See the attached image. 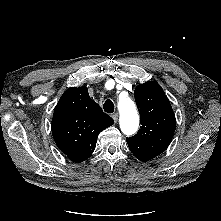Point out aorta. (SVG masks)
Here are the masks:
<instances>
[{
    "label": "aorta",
    "mask_w": 221,
    "mask_h": 221,
    "mask_svg": "<svg viewBox=\"0 0 221 221\" xmlns=\"http://www.w3.org/2000/svg\"><path fill=\"white\" fill-rule=\"evenodd\" d=\"M120 114L119 124L125 135H133L139 127V115L134 101L130 97L121 96L118 100Z\"/></svg>",
    "instance_id": "762f6f07"
}]
</instances>
